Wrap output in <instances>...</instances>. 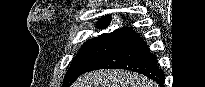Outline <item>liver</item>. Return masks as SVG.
I'll return each mask as SVG.
<instances>
[{
    "label": "liver",
    "mask_w": 205,
    "mask_h": 87,
    "mask_svg": "<svg viewBox=\"0 0 205 87\" xmlns=\"http://www.w3.org/2000/svg\"><path fill=\"white\" fill-rule=\"evenodd\" d=\"M72 87H157V84L126 70H98L83 74Z\"/></svg>",
    "instance_id": "6515ba94"
}]
</instances>
